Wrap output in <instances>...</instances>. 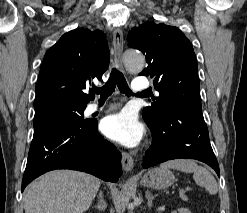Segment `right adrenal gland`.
<instances>
[{
  "label": "right adrenal gland",
  "instance_id": "2a0ac1e0",
  "mask_svg": "<svg viewBox=\"0 0 247 213\" xmlns=\"http://www.w3.org/2000/svg\"><path fill=\"white\" fill-rule=\"evenodd\" d=\"M98 203L97 205L94 206V208L98 209L99 211H104L107 204H106V201L104 200V195L102 193V191L99 192L98 194Z\"/></svg>",
  "mask_w": 247,
  "mask_h": 213
}]
</instances>
